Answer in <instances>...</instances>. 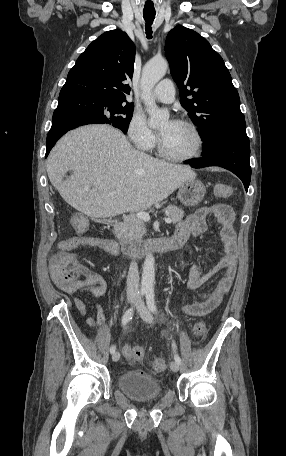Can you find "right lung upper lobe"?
Instances as JSON below:
<instances>
[{
	"instance_id": "cb5924a9",
	"label": "right lung upper lobe",
	"mask_w": 286,
	"mask_h": 456,
	"mask_svg": "<svg viewBox=\"0 0 286 456\" xmlns=\"http://www.w3.org/2000/svg\"><path fill=\"white\" fill-rule=\"evenodd\" d=\"M135 46L121 30L105 32L79 56L62 89H77L110 101L126 102ZM128 103V102H127Z\"/></svg>"
}]
</instances>
